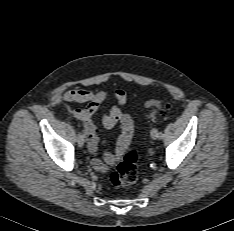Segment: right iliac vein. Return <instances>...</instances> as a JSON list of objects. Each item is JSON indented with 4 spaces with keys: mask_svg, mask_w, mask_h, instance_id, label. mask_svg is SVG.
<instances>
[{
    "mask_svg": "<svg viewBox=\"0 0 234 231\" xmlns=\"http://www.w3.org/2000/svg\"><path fill=\"white\" fill-rule=\"evenodd\" d=\"M77 143L79 147H82L84 145V138L77 137Z\"/></svg>",
    "mask_w": 234,
    "mask_h": 231,
    "instance_id": "right-iliac-vein-1",
    "label": "right iliac vein"
}]
</instances>
